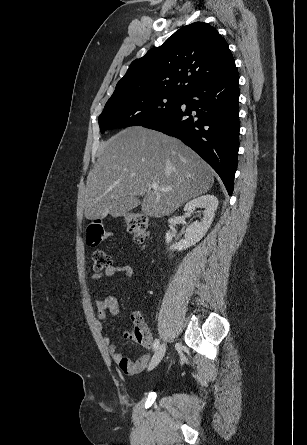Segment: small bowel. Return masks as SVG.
I'll list each match as a JSON object with an SVG mask.
<instances>
[{
    "label": "small bowel",
    "instance_id": "c3829d8e",
    "mask_svg": "<svg viewBox=\"0 0 307 445\" xmlns=\"http://www.w3.org/2000/svg\"><path fill=\"white\" fill-rule=\"evenodd\" d=\"M114 276H122L125 278H131L133 276V268L128 264L123 265H111L105 271L102 272H94L91 275V279L94 282H98L103 279V277H114ZM94 304L97 308V314L100 319H106V317L109 316H115L118 314L119 306L117 300L112 297H101L100 295L96 294L94 296ZM132 333L126 332L124 334L125 338L132 339ZM104 343L107 347V350L112 357L113 361L118 364L120 369L127 373V374H137L141 372L144 367L146 366L149 355L148 354H141L136 359L132 360L121 353L118 352L117 346L111 342V339L109 337L104 338ZM151 345V343H150ZM150 345L144 346L145 348H149Z\"/></svg>",
    "mask_w": 307,
    "mask_h": 445
}]
</instances>
